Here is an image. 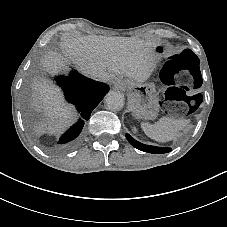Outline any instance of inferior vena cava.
Returning a JSON list of instances; mask_svg holds the SVG:
<instances>
[{"label":"inferior vena cava","mask_w":227,"mask_h":227,"mask_svg":"<svg viewBox=\"0 0 227 227\" xmlns=\"http://www.w3.org/2000/svg\"><path fill=\"white\" fill-rule=\"evenodd\" d=\"M97 80L102 82H107V81H110V76L108 74H104L101 78H98Z\"/></svg>","instance_id":"inferior-vena-cava-1"}]
</instances>
